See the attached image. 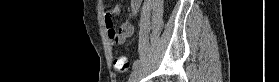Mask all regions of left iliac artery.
Segmentation results:
<instances>
[{
  "mask_svg": "<svg viewBox=\"0 0 279 82\" xmlns=\"http://www.w3.org/2000/svg\"><path fill=\"white\" fill-rule=\"evenodd\" d=\"M138 66H139V61L138 60L134 61L133 68H137Z\"/></svg>",
  "mask_w": 279,
  "mask_h": 82,
  "instance_id": "44dca946",
  "label": "left iliac artery"
}]
</instances>
